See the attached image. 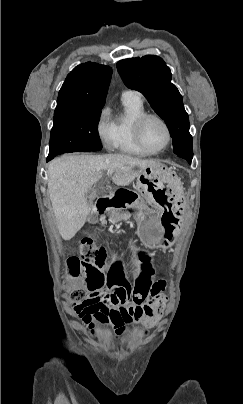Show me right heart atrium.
Masks as SVG:
<instances>
[{"label": "right heart atrium", "mask_w": 243, "mask_h": 404, "mask_svg": "<svg viewBox=\"0 0 243 404\" xmlns=\"http://www.w3.org/2000/svg\"><path fill=\"white\" fill-rule=\"evenodd\" d=\"M95 133L103 150L107 152L116 150L115 128L108 106H103L96 116Z\"/></svg>", "instance_id": "d8ad5b80"}]
</instances>
